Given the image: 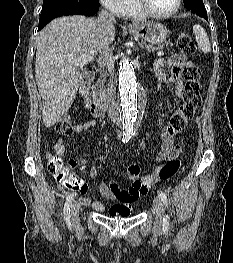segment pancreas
<instances>
[{"instance_id": "pancreas-1", "label": "pancreas", "mask_w": 233, "mask_h": 263, "mask_svg": "<svg viewBox=\"0 0 233 263\" xmlns=\"http://www.w3.org/2000/svg\"><path fill=\"white\" fill-rule=\"evenodd\" d=\"M139 45L142 47H145L149 51H161L165 46L167 47L169 45V42H166L165 44L159 45V46H152V45H146L144 42H139ZM104 82H105V72L101 70L100 72V78L96 82V84L93 86V94L96 97L103 98L105 91H104Z\"/></svg>"}]
</instances>
